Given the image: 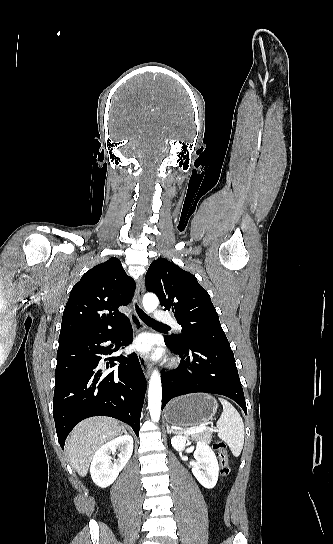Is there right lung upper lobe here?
Returning a JSON list of instances; mask_svg holds the SVG:
<instances>
[{"label": "right lung upper lobe", "instance_id": "right-lung-upper-lobe-1", "mask_svg": "<svg viewBox=\"0 0 333 544\" xmlns=\"http://www.w3.org/2000/svg\"><path fill=\"white\" fill-rule=\"evenodd\" d=\"M135 291L118 258L87 271L75 284L63 312L59 343L118 327L127 318L119 312Z\"/></svg>", "mask_w": 333, "mask_h": 544}]
</instances>
